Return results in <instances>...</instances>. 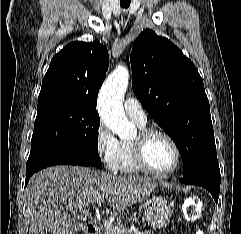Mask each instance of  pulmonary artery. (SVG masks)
<instances>
[{"instance_id":"obj_1","label":"pulmonary artery","mask_w":241,"mask_h":234,"mask_svg":"<svg viewBox=\"0 0 241 234\" xmlns=\"http://www.w3.org/2000/svg\"><path fill=\"white\" fill-rule=\"evenodd\" d=\"M126 114L138 125L145 126L147 122L146 114L140 102L134 97H128L124 102Z\"/></svg>"}]
</instances>
